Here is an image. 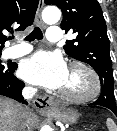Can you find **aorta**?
Here are the masks:
<instances>
[{"mask_svg": "<svg viewBox=\"0 0 117 131\" xmlns=\"http://www.w3.org/2000/svg\"><path fill=\"white\" fill-rule=\"evenodd\" d=\"M61 18V11L57 7H47L42 12V19L47 23H56ZM41 131H51L47 125L41 128Z\"/></svg>", "mask_w": 117, "mask_h": 131, "instance_id": "1", "label": "aorta"}]
</instances>
